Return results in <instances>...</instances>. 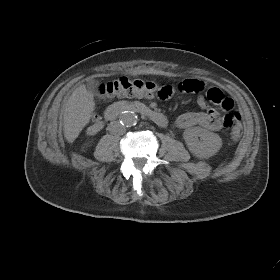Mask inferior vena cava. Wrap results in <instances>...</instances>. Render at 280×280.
I'll list each match as a JSON object with an SVG mask.
<instances>
[{
    "label": "inferior vena cava",
    "mask_w": 280,
    "mask_h": 280,
    "mask_svg": "<svg viewBox=\"0 0 280 280\" xmlns=\"http://www.w3.org/2000/svg\"><path fill=\"white\" fill-rule=\"evenodd\" d=\"M108 129L110 133L114 135H123L126 132L125 126H123L117 121L111 122L108 126Z\"/></svg>",
    "instance_id": "1"
}]
</instances>
